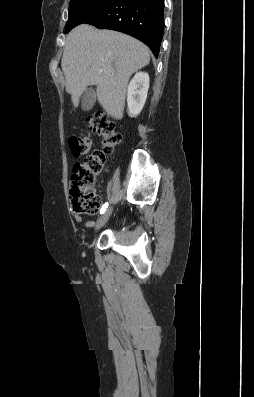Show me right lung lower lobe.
<instances>
[{
  "mask_svg": "<svg viewBox=\"0 0 254 397\" xmlns=\"http://www.w3.org/2000/svg\"><path fill=\"white\" fill-rule=\"evenodd\" d=\"M84 23L131 35L158 57L164 32V0H110Z\"/></svg>",
  "mask_w": 254,
  "mask_h": 397,
  "instance_id": "1",
  "label": "right lung lower lobe"
}]
</instances>
